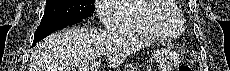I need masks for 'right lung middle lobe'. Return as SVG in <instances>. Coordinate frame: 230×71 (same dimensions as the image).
<instances>
[{"label":"right lung middle lobe","mask_w":230,"mask_h":71,"mask_svg":"<svg viewBox=\"0 0 230 71\" xmlns=\"http://www.w3.org/2000/svg\"><path fill=\"white\" fill-rule=\"evenodd\" d=\"M95 0H46L41 24L84 19L94 13Z\"/></svg>","instance_id":"right-lung-middle-lobe-1"}]
</instances>
